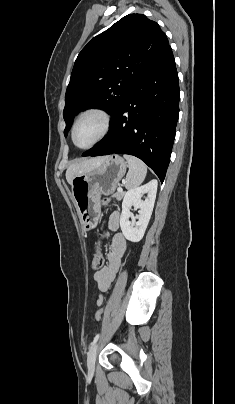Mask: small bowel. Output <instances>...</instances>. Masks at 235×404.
<instances>
[{
    "mask_svg": "<svg viewBox=\"0 0 235 404\" xmlns=\"http://www.w3.org/2000/svg\"><path fill=\"white\" fill-rule=\"evenodd\" d=\"M109 225L113 230L118 228V214H113L110 218ZM126 240L121 233H116L111 242V248L107 254V263L104 267L96 271L94 279L97 283L99 296L97 305L103 302L102 294L110 289V286L119 270L121 259L126 252Z\"/></svg>",
    "mask_w": 235,
    "mask_h": 404,
    "instance_id": "obj_1",
    "label": "small bowel"
}]
</instances>
